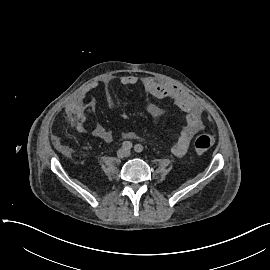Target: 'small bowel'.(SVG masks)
I'll list each match as a JSON object with an SVG mask.
<instances>
[{
    "label": "small bowel",
    "instance_id": "1",
    "mask_svg": "<svg viewBox=\"0 0 270 270\" xmlns=\"http://www.w3.org/2000/svg\"><path fill=\"white\" fill-rule=\"evenodd\" d=\"M137 82L138 79L134 76H123L119 79V84L123 86L135 85ZM142 82L145 90L150 95L160 100H170L186 113V123L183 126L177 141L172 146V153L175 156H184L193 136L203 128L200 106L188 92L172 83L161 81L154 77H146ZM111 84V80L106 82V101L110 107H113L114 100L110 92ZM93 87L94 86H91L89 89ZM89 89L84 90L66 109L67 121L80 133L86 131V95ZM146 110L152 117H158L163 113L162 109L155 104H148ZM93 135L107 143L113 141V133L102 124L95 125ZM122 137L128 139L136 138L132 133H123Z\"/></svg>",
    "mask_w": 270,
    "mask_h": 270
}]
</instances>
